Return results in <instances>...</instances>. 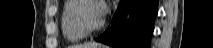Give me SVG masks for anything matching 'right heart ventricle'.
<instances>
[{"label": "right heart ventricle", "mask_w": 213, "mask_h": 48, "mask_svg": "<svg viewBox=\"0 0 213 48\" xmlns=\"http://www.w3.org/2000/svg\"><path fill=\"white\" fill-rule=\"evenodd\" d=\"M78 0H66L61 11V30L66 40L69 42H78L86 37L76 25L73 18V10Z\"/></svg>", "instance_id": "1"}]
</instances>
